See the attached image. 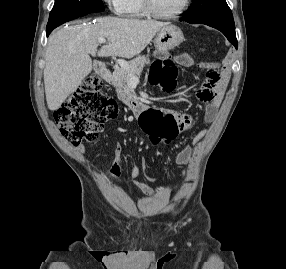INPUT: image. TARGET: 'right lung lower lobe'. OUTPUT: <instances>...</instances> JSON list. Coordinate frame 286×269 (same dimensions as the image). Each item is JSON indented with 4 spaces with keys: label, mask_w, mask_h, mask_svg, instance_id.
I'll return each mask as SVG.
<instances>
[{
    "label": "right lung lower lobe",
    "mask_w": 286,
    "mask_h": 269,
    "mask_svg": "<svg viewBox=\"0 0 286 269\" xmlns=\"http://www.w3.org/2000/svg\"><path fill=\"white\" fill-rule=\"evenodd\" d=\"M53 30V28L52 29H47L46 30V33H47V36H49V34L51 33V31Z\"/></svg>",
    "instance_id": "98d812e1"
}]
</instances>
